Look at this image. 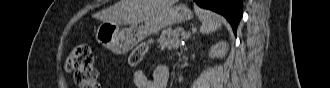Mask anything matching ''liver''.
<instances>
[{"instance_id": "obj_1", "label": "liver", "mask_w": 330, "mask_h": 88, "mask_svg": "<svg viewBox=\"0 0 330 88\" xmlns=\"http://www.w3.org/2000/svg\"><path fill=\"white\" fill-rule=\"evenodd\" d=\"M175 0H120L102 12L103 21L115 24H134L173 5Z\"/></svg>"}]
</instances>
